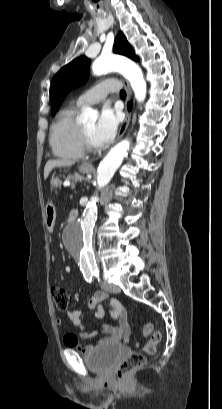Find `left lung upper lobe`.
Returning a JSON list of instances; mask_svg holds the SVG:
<instances>
[{
	"mask_svg": "<svg viewBox=\"0 0 222 409\" xmlns=\"http://www.w3.org/2000/svg\"><path fill=\"white\" fill-rule=\"evenodd\" d=\"M113 51L138 61L131 45L124 34L119 32L116 37ZM91 60L85 56L78 57L64 66L53 78L51 83V108L52 115L58 110L66 94L86 82L89 74Z\"/></svg>",
	"mask_w": 222,
	"mask_h": 409,
	"instance_id": "5c2ea615",
	"label": "left lung upper lobe"
}]
</instances>
